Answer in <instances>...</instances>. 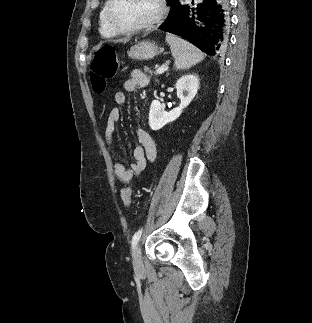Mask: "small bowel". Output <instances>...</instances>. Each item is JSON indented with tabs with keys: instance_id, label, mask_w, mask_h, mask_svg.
<instances>
[{
	"instance_id": "1",
	"label": "small bowel",
	"mask_w": 312,
	"mask_h": 323,
	"mask_svg": "<svg viewBox=\"0 0 312 323\" xmlns=\"http://www.w3.org/2000/svg\"><path fill=\"white\" fill-rule=\"evenodd\" d=\"M149 84L148 76L141 70H133L129 78L124 83V90L114 93V102L117 105H124L127 101L126 92H132L139 87H146ZM122 118V112L119 108H113L108 115L105 126V140L109 147L115 144L116 125ZM139 144L133 148L132 155L134 162L130 168H126L118 161L113 162V172L118 180L123 183L131 181L134 175L141 174L148 161L156 159V145L152 137L143 129L137 130Z\"/></svg>"
}]
</instances>
